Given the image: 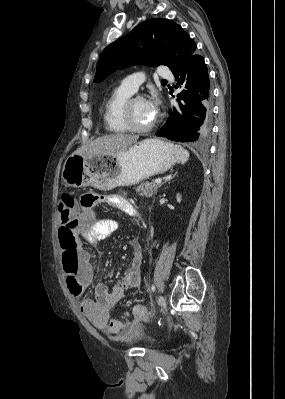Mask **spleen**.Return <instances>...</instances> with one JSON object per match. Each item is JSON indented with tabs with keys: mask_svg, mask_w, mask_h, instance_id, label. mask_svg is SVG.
<instances>
[{
	"mask_svg": "<svg viewBox=\"0 0 285 399\" xmlns=\"http://www.w3.org/2000/svg\"><path fill=\"white\" fill-rule=\"evenodd\" d=\"M172 147L175 151L177 161L181 164L186 163L189 159V152L179 145H172Z\"/></svg>",
	"mask_w": 285,
	"mask_h": 399,
	"instance_id": "spleen-1",
	"label": "spleen"
}]
</instances>
